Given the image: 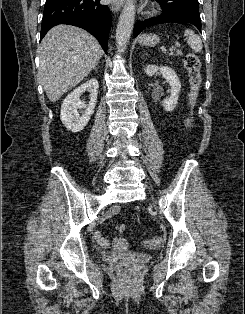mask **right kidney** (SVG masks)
Returning <instances> with one entry per match:
<instances>
[{
    "mask_svg": "<svg viewBox=\"0 0 245 314\" xmlns=\"http://www.w3.org/2000/svg\"><path fill=\"white\" fill-rule=\"evenodd\" d=\"M98 88V81L96 79H91L72 91L65 98L61 105L60 119L69 131L76 133L82 131L86 127L96 106ZM84 91L90 93V101L88 105L80 100V96ZM78 109H85V111L80 115Z\"/></svg>",
    "mask_w": 245,
    "mask_h": 314,
    "instance_id": "1",
    "label": "right kidney"
}]
</instances>
